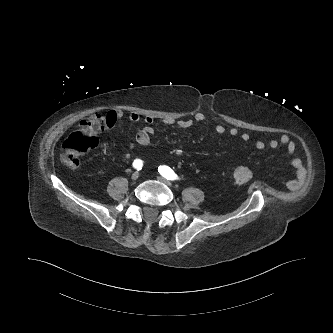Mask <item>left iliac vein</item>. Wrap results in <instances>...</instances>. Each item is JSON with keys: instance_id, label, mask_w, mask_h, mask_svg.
Masks as SVG:
<instances>
[{"instance_id": "1", "label": "left iliac vein", "mask_w": 333, "mask_h": 333, "mask_svg": "<svg viewBox=\"0 0 333 333\" xmlns=\"http://www.w3.org/2000/svg\"><path fill=\"white\" fill-rule=\"evenodd\" d=\"M160 182H162L163 184L169 186V187H172V183L170 181H168L167 179H165L164 177H158L157 178Z\"/></svg>"}]
</instances>
